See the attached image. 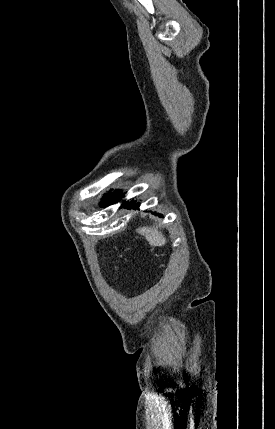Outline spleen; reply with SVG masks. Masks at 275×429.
Returning <instances> with one entry per match:
<instances>
[{
  "label": "spleen",
  "mask_w": 275,
  "mask_h": 429,
  "mask_svg": "<svg viewBox=\"0 0 275 429\" xmlns=\"http://www.w3.org/2000/svg\"><path fill=\"white\" fill-rule=\"evenodd\" d=\"M136 231L138 234L144 236L152 246H162L166 243L164 235L155 228L144 226L138 228Z\"/></svg>",
  "instance_id": "3e777b00"
}]
</instances>
